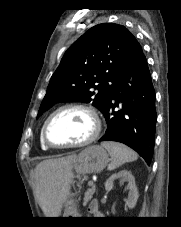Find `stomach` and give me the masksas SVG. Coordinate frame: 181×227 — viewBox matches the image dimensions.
I'll return each instance as SVG.
<instances>
[{
  "instance_id": "stomach-1",
  "label": "stomach",
  "mask_w": 181,
  "mask_h": 227,
  "mask_svg": "<svg viewBox=\"0 0 181 227\" xmlns=\"http://www.w3.org/2000/svg\"><path fill=\"white\" fill-rule=\"evenodd\" d=\"M109 162V155L107 151L99 145L88 146L82 150L75 162L73 163L72 171L74 177L71 185H74V178H79L83 174L95 173L103 170ZM76 210V200L74 194H70L65 201V209L63 217H78Z\"/></svg>"
}]
</instances>
